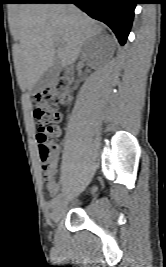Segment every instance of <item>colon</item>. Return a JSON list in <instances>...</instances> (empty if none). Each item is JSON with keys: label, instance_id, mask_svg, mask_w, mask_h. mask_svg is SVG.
Returning <instances> with one entry per match:
<instances>
[{"label": "colon", "instance_id": "colon-1", "mask_svg": "<svg viewBox=\"0 0 166 267\" xmlns=\"http://www.w3.org/2000/svg\"><path fill=\"white\" fill-rule=\"evenodd\" d=\"M71 100V88L64 79L57 80L34 97L33 116L38 126V151L45 177L55 171L53 138L59 134L58 123L62 118L59 107L69 105Z\"/></svg>", "mask_w": 166, "mask_h": 267}]
</instances>
